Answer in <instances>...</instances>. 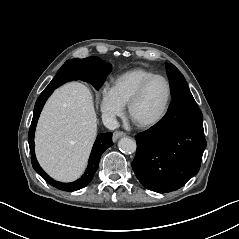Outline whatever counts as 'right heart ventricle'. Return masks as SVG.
Masks as SVG:
<instances>
[{
  "label": "right heart ventricle",
  "mask_w": 239,
  "mask_h": 239,
  "mask_svg": "<svg viewBox=\"0 0 239 239\" xmlns=\"http://www.w3.org/2000/svg\"><path fill=\"white\" fill-rule=\"evenodd\" d=\"M153 75H156V73L150 69L133 68L117 75L112 80L110 89L119 103L126 107L140 85Z\"/></svg>",
  "instance_id": "e07e8e85"
}]
</instances>
